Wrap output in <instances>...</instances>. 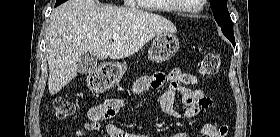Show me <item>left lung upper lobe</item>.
Returning a JSON list of instances; mask_svg holds the SVG:
<instances>
[{"mask_svg": "<svg viewBox=\"0 0 280 137\" xmlns=\"http://www.w3.org/2000/svg\"><path fill=\"white\" fill-rule=\"evenodd\" d=\"M217 24L221 27L223 34L235 45L233 25L227 9V0H209Z\"/></svg>", "mask_w": 280, "mask_h": 137, "instance_id": "1", "label": "left lung upper lobe"}]
</instances>
